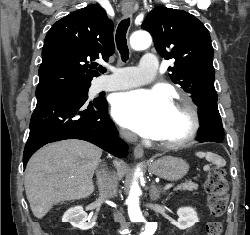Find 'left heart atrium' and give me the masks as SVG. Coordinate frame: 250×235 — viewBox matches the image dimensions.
Returning <instances> with one entry per match:
<instances>
[{
    "mask_svg": "<svg viewBox=\"0 0 250 235\" xmlns=\"http://www.w3.org/2000/svg\"><path fill=\"white\" fill-rule=\"evenodd\" d=\"M172 109V101L164 91L139 89L118 94L112 114L123 127L143 137L156 138Z\"/></svg>",
    "mask_w": 250,
    "mask_h": 235,
    "instance_id": "obj_1",
    "label": "left heart atrium"
}]
</instances>
